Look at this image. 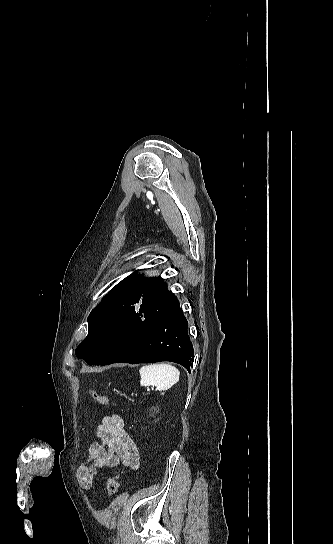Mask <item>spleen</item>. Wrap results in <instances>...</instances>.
Here are the masks:
<instances>
[{
    "mask_svg": "<svg viewBox=\"0 0 333 544\" xmlns=\"http://www.w3.org/2000/svg\"><path fill=\"white\" fill-rule=\"evenodd\" d=\"M142 386L153 385L160 391L170 389L179 381V370L167 363L145 365L139 370Z\"/></svg>",
    "mask_w": 333,
    "mask_h": 544,
    "instance_id": "3e777b00",
    "label": "spleen"
}]
</instances>
